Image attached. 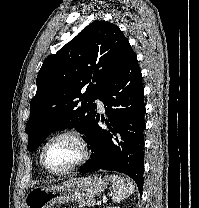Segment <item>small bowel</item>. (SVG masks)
<instances>
[{
    "mask_svg": "<svg viewBox=\"0 0 199 208\" xmlns=\"http://www.w3.org/2000/svg\"><path fill=\"white\" fill-rule=\"evenodd\" d=\"M56 208H65V207H56Z\"/></svg>",
    "mask_w": 199,
    "mask_h": 208,
    "instance_id": "c3829d8e",
    "label": "small bowel"
}]
</instances>
